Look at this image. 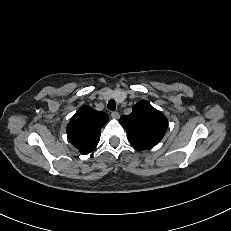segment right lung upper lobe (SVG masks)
Masks as SVG:
<instances>
[{"instance_id":"1","label":"right lung upper lobe","mask_w":231,"mask_h":231,"mask_svg":"<svg viewBox=\"0 0 231 231\" xmlns=\"http://www.w3.org/2000/svg\"><path fill=\"white\" fill-rule=\"evenodd\" d=\"M106 113L82 106L67 125V135L81 154L93 151L100 140L101 128L107 123Z\"/></svg>"}]
</instances>
